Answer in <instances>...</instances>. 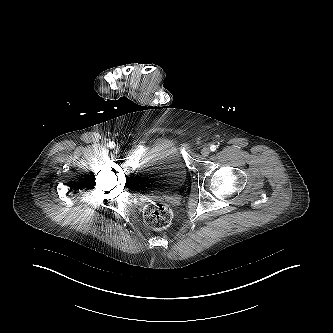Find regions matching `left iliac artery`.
I'll return each mask as SVG.
<instances>
[{
  "instance_id": "left-iliac-artery-1",
  "label": "left iliac artery",
  "mask_w": 333,
  "mask_h": 333,
  "mask_svg": "<svg viewBox=\"0 0 333 333\" xmlns=\"http://www.w3.org/2000/svg\"><path fill=\"white\" fill-rule=\"evenodd\" d=\"M216 148H217V147H216L215 145H211V146H210V150H211L212 152H214V151L216 150Z\"/></svg>"
}]
</instances>
